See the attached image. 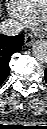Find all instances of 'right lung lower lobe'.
Returning <instances> with one entry per match:
<instances>
[{
  "instance_id": "1",
  "label": "right lung lower lobe",
  "mask_w": 47,
  "mask_h": 129,
  "mask_svg": "<svg viewBox=\"0 0 47 129\" xmlns=\"http://www.w3.org/2000/svg\"><path fill=\"white\" fill-rule=\"evenodd\" d=\"M23 40L22 34L16 36L0 34V85L8 77L11 56L21 50Z\"/></svg>"
}]
</instances>
